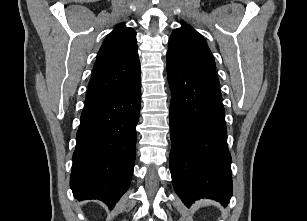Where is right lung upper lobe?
<instances>
[{
  "label": "right lung upper lobe",
  "instance_id": "obj_1",
  "mask_svg": "<svg viewBox=\"0 0 307 221\" xmlns=\"http://www.w3.org/2000/svg\"><path fill=\"white\" fill-rule=\"evenodd\" d=\"M139 79L136 32L122 23L106 37L99 50L86 102L127 89Z\"/></svg>",
  "mask_w": 307,
  "mask_h": 221
}]
</instances>
